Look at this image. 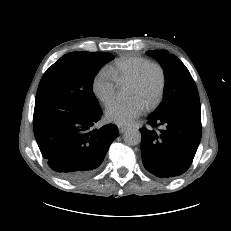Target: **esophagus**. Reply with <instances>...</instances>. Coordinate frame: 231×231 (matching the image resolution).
Instances as JSON below:
<instances>
[{"instance_id": "obj_1", "label": "esophagus", "mask_w": 231, "mask_h": 231, "mask_svg": "<svg viewBox=\"0 0 231 231\" xmlns=\"http://www.w3.org/2000/svg\"><path fill=\"white\" fill-rule=\"evenodd\" d=\"M118 129H119L120 133H123V132H125L128 129V127L127 126H123V125H119Z\"/></svg>"}]
</instances>
